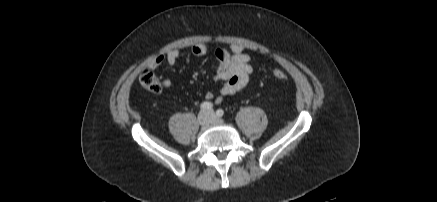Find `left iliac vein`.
Wrapping results in <instances>:
<instances>
[{
    "label": "left iliac vein",
    "instance_id": "4c4485c4",
    "mask_svg": "<svg viewBox=\"0 0 437 202\" xmlns=\"http://www.w3.org/2000/svg\"><path fill=\"white\" fill-rule=\"evenodd\" d=\"M208 114L211 117V122L212 123H216V124H222L223 120H221L220 118L216 117V115L214 114L213 111H209Z\"/></svg>",
    "mask_w": 437,
    "mask_h": 202
}]
</instances>
